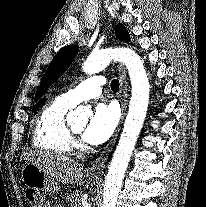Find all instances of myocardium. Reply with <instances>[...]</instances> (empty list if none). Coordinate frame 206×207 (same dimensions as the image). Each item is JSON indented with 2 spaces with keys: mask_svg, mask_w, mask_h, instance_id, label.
Instances as JSON below:
<instances>
[{
  "mask_svg": "<svg viewBox=\"0 0 206 207\" xmlns=\"http://www.w3.org/2000/svg\"><path fill=\"white\" fill-rule=\"evenodd\" d=\"M69 132L74 141L80 140V133L76 132L72 127L69 126Z\"/></svg>",
  "mask_w": 206,
  "mask_h": 207,
  "instance_id": "f54148a6",
  "label": "myocardium"
}]
</instances>
